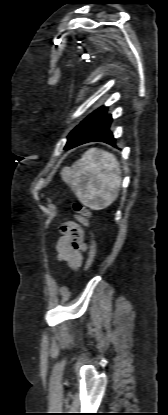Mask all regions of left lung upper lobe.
Returning a JSON list of instances; mask_svg holds the SVG:
<instances>
[{
	"instance_id": "1",
	"label": "left lung upper lobe",
	"mask_w": 168,
	"mask_h": 415,
	"mask_svg": "<svg viewBox=\"0 0 168 415\" xmlns=\"http://www.w3.org/2000/svg\"><path fill=\"white\" fill-rule=\"evenodd\" d=\"M106 107H101L94 112H92L89 116H87L78 126L75 127L71 131V133L68 136V141L65 146V149H69L75 141L78 139V137L81 136V134L89 127V125L93 122V120L105 109Z\"/></svg>"
}]
</instances>
